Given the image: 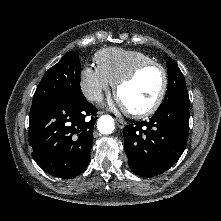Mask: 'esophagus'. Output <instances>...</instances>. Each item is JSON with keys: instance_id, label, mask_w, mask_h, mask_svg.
Segmentation results:
<instances>
[{"instance_id": "34e87169", "label": "esophagus", "mask_w": 221, "mask_h": 221, "mask_svg": "<svg viewBox=\"0 0 221 221\" xmlns=\"http://www.w3.org/2000/svg\"><path fill=\"white\" fill-rule=\"evenodd\" d=\"M115 122H116V124L118 125V127L119 128H123L124 127V125H125V123L122 121V120H120V119H115Z\"/></svg>"}]
</instances>
